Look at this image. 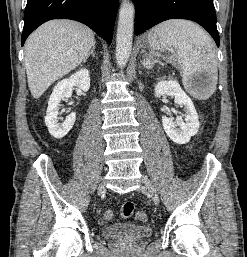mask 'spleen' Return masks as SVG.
<instances>
[{"mask_svg": "<svg viewBox=\"0 0 247 257\" xmlns=\"http://www.w3.org/2000/svg\"><path fill=\"white\" fill-rule=\"evenodd\" d=\"M149 45L162 52L172 46L178 52L184 87L193 92L191 79L206 73L207 87L196 92L200 99L209 98L216 89L218 70L215 45L208 34L191 21L174 19L155 26L148 36Z\"/></svg>", "mask_w": 247, "mask_h": 257, "instance_id": "3e777b00", "label": "spleen"}]
</instances>
